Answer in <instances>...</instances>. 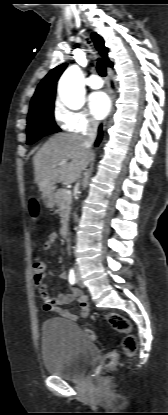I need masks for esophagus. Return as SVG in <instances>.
<instances>
[{"instance_id":"34e87169","label":"esophagus","mask_w":168,"mask_h":415,"mask_svg":"<svg viewBox=\"0 0 168 415\" xmlns=\"http://www.w3.org/2000/svg\"><path fill=\"white\" fill-rule=\"evenodd\" d=\"M114 98H115V95L113 94L112 95V102L114 101ZM113 112H114V107L112 106V109H111V112H110L109 116L105 119V121L103 123V128H106L109 125V123L111 122Z\"/></svg>"}]
</instances>
